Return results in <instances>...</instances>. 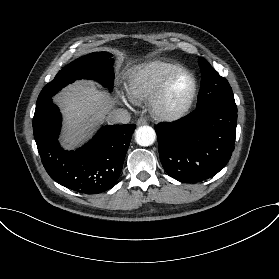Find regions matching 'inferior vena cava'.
<instances>
[{"label": "inferior vena cava", "instance_id": "602c4592", "mask_svg": "<svg viewBox=\"0 0 279 279\" xmlns=\"http://www.w3.org/2000/svg\"><path fill=\"white\" fill-rule=\"evenodd\" d=\"M109 119L113 123L128 124L131 116L125 109H114L110 112Z\"/></svg>", "mask_w": 279, "mask_h": 279}]
</instances>
